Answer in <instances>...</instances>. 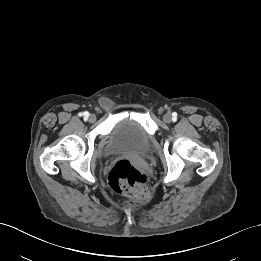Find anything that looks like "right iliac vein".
I'll return each instance as SVG.
<instances>
[{"mask_svg":"<svg viewBox=\"0 0 261 261\" xmlns=\"http://www.w3.org/2000/svg\"><path fill=\"white\" fill-rule=\"evenodd\" d=\"M95 121H96V115L90 114V116H89V122H90V123H94Z\"/></svg>","mask_w":261,"mask_h":261,"instance_id":"1","label":"right iliac vein"}]
</instances>
